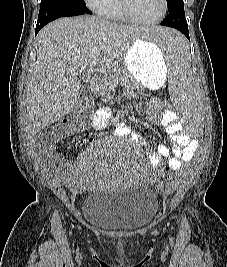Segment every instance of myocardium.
Segmentation results:
<instances>
[{"label": "myocardium", "mask_w": 227, "mask_h": 267, "mask_svg": "<svg viewBox=\"0 0 227 267\" xmlns=\"http://www.w3.org/2000/svg\"><path fill=\"white\" fill-rule=\"evenodd\" d=\"M118 4L121 13L126 19L130 20L131 22L143 25H152L161 22L165 18L168 11V1L162 0L163 8L161 14L156 19L144 20L136 16L135 13L132 11L130 7V0H118Z\"/></svg>", "instance_id": "obj_1"}]
</instances>
